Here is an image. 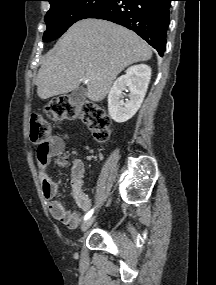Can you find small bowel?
<instances>
[{
  "instance_id": "c3829d8e",
  "label": "small bowel",
  "mask_w": 216,
  "mask_h": 285,
  "mask_svg": "<svg viewBox=\"0 0 216 285\" xmlns=\"http://www.w3.org/2000/svg\"><path fill=\"white\" fill-rule=\"evenodd\" d=\"M69 138L68 134L62 136H52L46 149L37 150V159L41 166H46L50 159L64 152L65 140ZM85 167L82 161L76 160L71 168V189L73 198L78 206L77 211H69L61 201L55 200L59 185L53 181L46 173L41 175L42 192L48 201V208L51 216L65 224L71 229L79 226L82 219V212H86L91 207V201L83 190V177Z\"/></svg>"
}]
</instances>
